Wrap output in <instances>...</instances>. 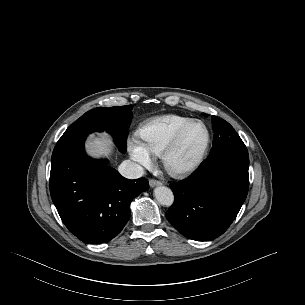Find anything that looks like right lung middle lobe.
Segmentation results:
<instances>
[{"label":"right lung middle lobe","instance_id":"dd1d6c3e","mask_svg":"<svg viewBox=\"0 0 305 305\" xmlns=\"http://www.w3.org/2000/svg\"><path fill=\"white\" fill-rule=\"evenodd\" d=\"M132 107V105L110 108L97 107L90 110L70 125L57 143L64 144L81 136L86 137L94 131H106L114 137L120 150L125 152Z\"/></svg>","mask_w":305,"mask_h":305}]
</instances>
